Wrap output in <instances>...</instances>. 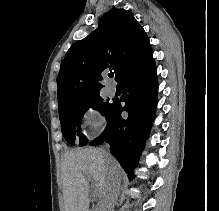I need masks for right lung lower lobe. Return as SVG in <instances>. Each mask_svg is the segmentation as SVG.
Listing matches in <instances>:
<instances>
[{
  "mask_svg": "<svg viewBox=\"0 0 219 211\" xmlns=\"http://www.w3.org/2000/svg\"><path fill=\"white\" fill-rule=\"evenodd\" d=\"M119 84L123 94L120 100H114L104 132L90 145L109 143L110 152L132 180L155 117L158 82L154 59L130 71ZM123 111L128 112L127 117L121 116Z\"/></svg>",
  "mask_w": 219,
  "mask_h": 211,
  "instance_id": "1",
  "label": "right lung lower lobe"
}]
</instances>
